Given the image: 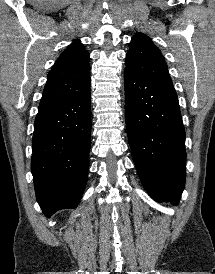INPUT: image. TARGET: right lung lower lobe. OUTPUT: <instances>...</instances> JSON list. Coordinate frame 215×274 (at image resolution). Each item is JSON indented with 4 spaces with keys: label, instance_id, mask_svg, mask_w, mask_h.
I'll list each match as a JSON object with an SVG mask.
<instances>
[{
    "label": "right lung lower lobe",
    "instance_id": "obj_1",
    "mask_svg": "<svg viewBox=\"0 0 215 274\" xmlns=\"http://www.w3.org/2000/svg\"><path fill=\"white\" fill-rule=\"evenodd\" d=\"M90 84L75 96L38 111L31 171L45 216L75 208L87 181L91 133Z\"/></svg>",
    "mask_w": 215,
    "mask_h": 274
}]
</instances>
